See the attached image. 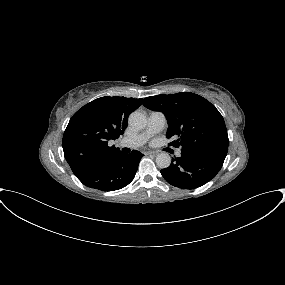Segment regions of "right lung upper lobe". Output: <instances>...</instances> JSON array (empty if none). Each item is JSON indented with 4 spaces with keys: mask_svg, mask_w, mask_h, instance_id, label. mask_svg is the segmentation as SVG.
<instances>
[{
    "mask_svg": "<svg viewBox=\"0 0 285 285\" xmlns=\"http://www.w3.org/2000/svg\"><path fill=\"white\" fill-rule=\"evenodd\" d=\"M142 99L101 97L83 106L70 119L63 135L64 156L74 174L121 152L109 146L127 128V118Z\"/></svg>",
    "mask_w": 285,
    "mask_h": 285,
    "instance_id": "obj_1",
    "label": "right lung upper lobe"
}]
</instances>
